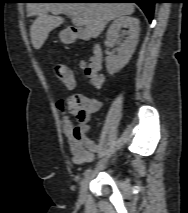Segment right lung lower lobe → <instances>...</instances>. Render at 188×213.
Wrapping results in <instances>:
<instances>
[{
    "mask_svg": "<svg viewBox=\"0 0 188 213\" xmlns=\"http://www.w3.org/2000/svg\"><path fill=\"white\" fill-rule=\"evenodd\" d=\"M100 1H128L129 3H136L144 11L150 22L153 19L154 4L156 3V0H100Z\"/></svg>",
    "mask_w": 188,
    "mask_h": 213,
    "instance_id": "obj_1",
    "label": "right lung lower lobe"
}]
</instances>
